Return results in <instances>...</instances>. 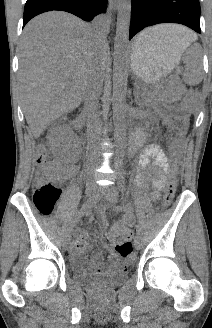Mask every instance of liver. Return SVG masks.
<instances>
[{"mask_svg":"<svg viewBox=\"0 0 212 328\" xmlns=\"http://www.w3.org/2000/svg\"><path fill=\"white\" fill-rule=\"evenodd\" d=\"M148 41L167 40L183 48L197 36L173 24L145 31ZM100 40L91 25L52 11L32 19L19 47V88L27 124L35 138L57 118L77 108L98 63Z\"/></svg>","mask_w":212,"mask_h":328,"instance_id":"1","label":"liver"}]
</instances>
